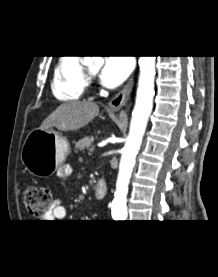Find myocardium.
<instances>
[{
	"instance_id": "f54148a6",
	"label": "myocardium",
	"mask_w": 218,
	"mask_h": 277,
	"mask_svg": "<svg viewBox=\"0 0 218 277\" xmlns=\"http://www.w3.org/2000/svg\"><path fill=\"white\" fill-rule=\"evenodd\" d=\"M84 72H85V80H86V84H87V82L90 80V78H92L93 73L87 67H84Z\"/></svg>"
}]
</instances>
